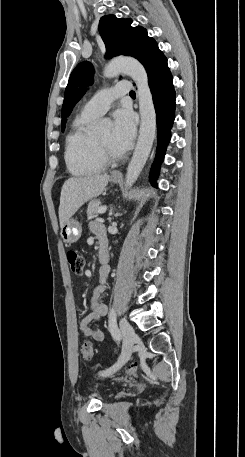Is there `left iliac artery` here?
Here are the masks:
<instances>
[{"instance_id": "obj_1", "label": "left iliac artery", "mask_w": 245, "mask_h": 457, "mask_svg": "<svg viewBox=\"0 0 245 457\" xmlns=\"http://www.w3.org/2000/svg\"><path fill=\"white\" fill-rule=\"evenodd\" d=\"M109 331L111 332L112 336L116 340L121 339L120 332L118 331L117 325H116V310L115 307L112 306L110 309L109 313Z\"/></svg>"}]
</instances>
